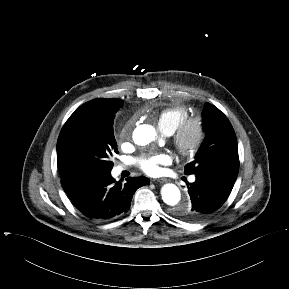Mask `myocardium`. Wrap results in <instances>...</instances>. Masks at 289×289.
<instances>
[{
    "label": "myocardium",
    "instance_id": "obj_1",
    "mask_svg": "<svg viewBox=\"0 0 289 289\" xmlns=\"http://www.w3.org/2000/svg\"><path fill=\"white\" fill-rule=\"evenodd\" d=\"M205 136L206 129L202 118L188 117L173 132V143L181 155L188 157L198 152Z\"/></svg>",
    "mask_w": 289,
    "mask_h": 289
}]
</instances>
